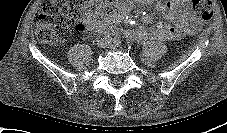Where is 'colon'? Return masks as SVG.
Wrapping results in <instances>:
<instances>
[{"label": "colon", "mask_w": 227, "mask_h": 133, "mask_svg": "<svg viewBox=\"0 0 227 133\" xmlns=\"http://www.w3.org/2000/svg\"><path fill=\"white\" fill-rule=\"evenodd\" d=\"M192 6L204 22L211 20V0H192ZM114 12L113 5L97 4L94 0H43L35 16L36 38L43 44H57L67 39L73 22L81 21L94 13Z\"/></svg>", "instance_id": "colon-1"}]
</instances>
